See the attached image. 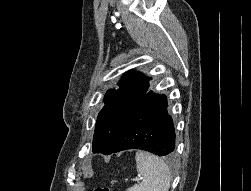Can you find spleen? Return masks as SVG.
<instances>
[{
	"label": "spleen",
	"mask_w": 251,
	"mask_h": 191,
	"mask_svg": "<svg viewBox=\"0 0 251 191\" xmlns=\"http://www.w3.org/2000/svg\"><path fill=\"white\" fill-rule=\"evenodd\" d=\"M135 159L136 169L143 179L127 191H169L171 171L163 159L141 149H137Z\"/></svg>",
	"instance_id": "1"
}]
</instances>
